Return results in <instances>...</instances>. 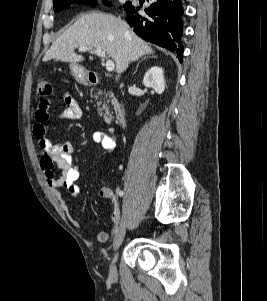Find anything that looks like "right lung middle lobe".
<instances>
[{"label":"right lung middle lobe","instance_id":"right-lung-middle-lobe-1","mask_svg":"<svg viewBox=\"0 0 267 301\" xmlns=\"http://www.w3.org/2000/svg\"><path fill=\"white\" fill-rule=\"evenodd\" d=\"M74 2L83 3V4H87V5H91V6H95V4H96V0H54V11L55 12L61 11ZM126 4H127V2L125 3V5Z\"/></svg>","mask_w":267,"mask_h":301}]
</instances>
